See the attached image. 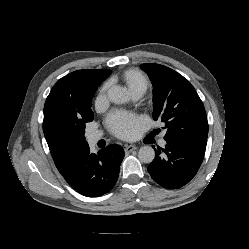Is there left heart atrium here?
Instances as JSON below:
<instances>
[{"label":"left heart atrium","instance_id":"left-heart-atrium-1","mask_svg":"<svg viewBox=\"0 0 249 249\" xmlns=\"http://www.w3.org/2000/svg\"><path fill=\"white\" fill-rule=\"evenodd\" d=\"M106 123L116 136L124 139L134 138L140 130V122L137 118L121 112L111 113Z\"/></svg>","mask_w":249,"mask_h":249}]
</instances>
